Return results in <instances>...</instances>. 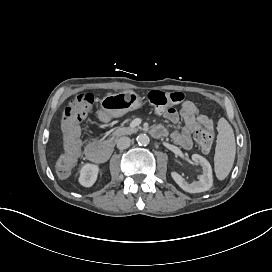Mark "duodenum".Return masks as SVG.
Segmentation results:
<instances>
[{"label":"duodenum","instance_id":"obj_1","mask_svg":"<svg viewBox=\"0 0 272 272\" xmlns=\"http://www.w3.org/2000/svg\"><path fill=\"white\" fill-rule=\"evenodd\" d=\"M100 119L105 121L107 119V115L105 113L100 114ZM151 135L159 138L163 136V132L157 128L151 130ZM113 142L106 141L102 143H91L87 146L85 154L86 157L95 163H103L109 159L113 152Z\"/></svg>","mask_w":272,"mask_h":272}]
</instances>
